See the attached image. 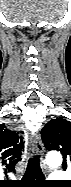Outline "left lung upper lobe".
I'll list each match as a JSON object with an SVG mask.
<instances>
[{
  "mask_svg": "<svg viewBox=\"0 0 71 187\" xmlns=\"http://www.w3.org/2000/svg\"><path fill=\"white\" fill-rule=\"evenodd\" d=\"M47 150H57L63 155V169L71 167V122L63 118L49 121L41 131Z\"/></svg>",
  "mask_w": 71,
  "mask_h": 187,
  "instance_id": "obj_1",
  "label": "left lung upper lobe"
}]
</instances>
